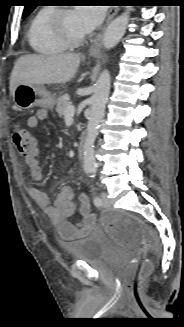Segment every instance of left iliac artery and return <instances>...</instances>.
<instances>
[{
  "label": "left iliac artery",
  "mask_w": 184,
  "mask_h": 327,
  "mask_svg": "<svg viewBox=\"0 0 184 327\" xmlns=\"http://www.w3.org/2000/svg\"><path fill=\"white\" fill-rule=\"evenodd\" d=\"M93 202L96 206H100L102 203V200L100 199V197L97 196L94 198Z\"/></svg>",
  "instance_id": "44dca946"
}]
</instances>
